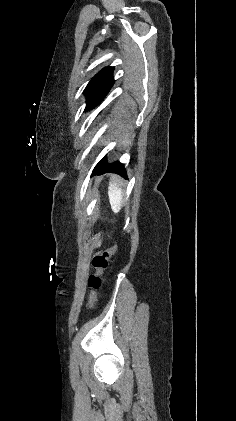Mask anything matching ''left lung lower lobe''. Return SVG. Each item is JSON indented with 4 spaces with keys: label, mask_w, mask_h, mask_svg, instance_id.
Wrapping results in <instances>:
<instances>
[{
    "label": "left lung lower lobe",
    "mask_w": 236,
    "mask_h": 421,
    "mask_svg": "<svg viewBox=\"0 0 236 421\" xmlns=\"http://www.w3.org/2000/svg\"><path fill=\"white\" fill-rule=\"evenodd\" d=\"M105 172H113V173H117L126 177V171L124 169L123 164L119 162H115V163L106 165V159L103 158L94 168L92 176L96 174H102Z\"/></svg>",
    "instance_id": "0a47b994"
}]
</instances>
